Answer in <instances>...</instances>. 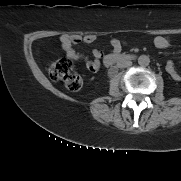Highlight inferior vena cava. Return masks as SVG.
Returning a JSON list of instances; mask_svg holds the SVG:
<instances>
[{
  "label": "inferior vena cava",
  "mask_w": 181,
  "mask_h": 181,
  "mask_svg": "<svg viewBox=\"0 0 181 181\" xmlns=\"http://www.w3.org/2000/svg\"><path fill=\"white\" fill-rule=\"evenodd\" d=\"M132 65L131 61H125L122 64L119 65L120 68H126V67H130Z\"/></svg>",
  "instance_id": "602c4592"
}]
</instances>
